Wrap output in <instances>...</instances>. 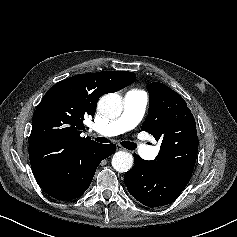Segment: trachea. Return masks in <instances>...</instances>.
Wrapping results in <instances>:
<instances>
[{"label": "trachea", "instance_id": "3493384b", "mask_svg": "<svg viewBox=\"0 0 237 237\" xmlns=\"http://www.w3.org/2000/svg\"><path fill=\"white\" fill-rule=\"evenodd\" d=\"M95 141L100 143H108V140L104 137H97L95 138ZM120 144L128 150H134L136 148L135 144L132 142L122 141Z\"/></svg>", "mask_w": 237, "mask_h": 237}]
</instances>
